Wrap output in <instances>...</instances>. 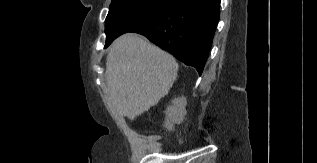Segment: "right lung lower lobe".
I'll list each match as a JSON object with an SVG mask.
<instances>
[{
  "label": "right lung lower lobe",
  "instance_id": "right-lung-lower-lobe-1",
  "mask_svg": "<svg viewBox=\"0 0 317 163\" xmlns=\"http://www.w3.org/2000/svg\"><path fill=\"white\" fill-rule=\"evenodd\" d=\"M219 7L220 0H172L154 18L129 32L146 36L201 75L218 23Z\"/></svg>",
  "mask_w": 317,
  "mask_h": 163
}]
</instances>
